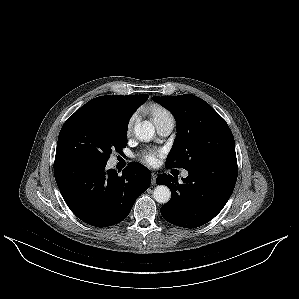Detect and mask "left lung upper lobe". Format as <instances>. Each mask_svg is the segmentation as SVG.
I'll list each match as a JSON object with an SVG mask.
<instances>
[{
    "mask_svg": "<svg viewBox=\"0 0 299 299\" xmlns=\"http://www.w3.org/2000/svg\"><path fill=\"white\" fill-rule=\"evenodd\" d=\"M177 122V137L166 167L189 169L207 160L236 157L233 134L225 120L204 100L192 94L154 96Z\"/></svg>",
    "mask_w": 299,
    "mask_h": 299,
    "instance_id": "5c2ea615",
    "label": "left lung upper lobe"
}]
</instances>
